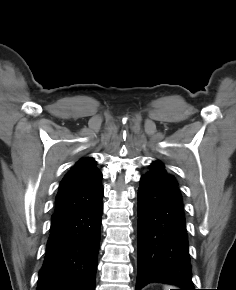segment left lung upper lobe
Segmentation results:
<instances>
[{"label":"left lung upper lobe","mask_w":236,"mask_h":290,"mask_svg":"<svg viewBox=\"0 0 236 290\" xmlns=\"http://www.w3.org/2000/svg\"><path fill=\"white\" fill-rule=\"evenodd\" d=\"M150 167L151 169L147 173V175L155 176L164 180L171 181L174 184H177L174 176L167 173V171L165 170V166L161 162L155 161L150 165Z\"/></svg>","instance_id":"obj_1"}]
</instances>
